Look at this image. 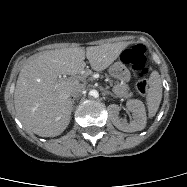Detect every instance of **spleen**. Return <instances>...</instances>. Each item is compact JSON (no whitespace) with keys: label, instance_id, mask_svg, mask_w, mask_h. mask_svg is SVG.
<instances>
[{"label":"spleen","instance_id":"1","mask_svg":"<svg viewBox=\"0 0 187 187\" xmlns=\"http://www.w3.org/2000/svg\"><path fill=\"white\" fill-rule=\"evenodd\" d=\"M150 88L147 93L146 101L149 117H153L160 105L162 99V83L157 71H153L149 78Z\"/></svg>","mask_w":187,"mask_h":187}]
</instances>
